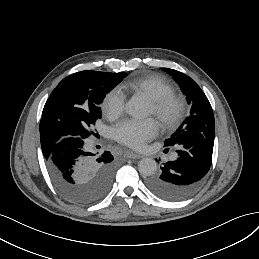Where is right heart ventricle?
Here are the masks:
<instances>
[{
	"mask_svg": "<svg viewBox=\"0 0 259 259\" xmlns=\"http://www.w3.org/2000/svg\"><path fill=\"white\" fill-rule=\"evenodd\" d=\"M116 90L123 96L144 93L150 100H158L174 93V88L159 77L134 76L120 83Z\"/></svg>",
	"mask_w": 259,
	"mask_h": 259,
	"instance_id": "1",
	"label": "right heart ventricle"
}]
</instances>
